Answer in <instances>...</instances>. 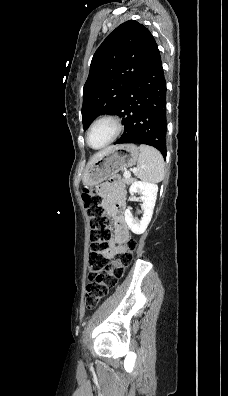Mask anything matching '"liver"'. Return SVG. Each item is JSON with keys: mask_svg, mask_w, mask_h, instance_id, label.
<instances>
[{"mask_svg": "<svg viewBox=\"0 0 228 396\" xmlns=\"http://www.w3.org/2000/svg\"><path fill=\"white\" fill-rule=\"evenodd\" d=\"M112 148H114V146L108 147L100 152H98L92 159L91 161L88 163V166L91 165L92 163H94L98 158H100L101 156H103L104 154H106L107 152H109Z\"/></svg>", "mask_w": 228, "mask_h": 396, "instance_id": "obj_1", "label": "liver"}]
</instances>
